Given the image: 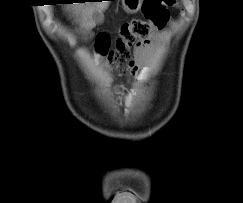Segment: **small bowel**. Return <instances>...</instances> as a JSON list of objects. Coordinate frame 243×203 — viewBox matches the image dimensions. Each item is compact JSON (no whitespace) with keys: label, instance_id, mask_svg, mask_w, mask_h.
<instances>
[{"label":"small bowel","instance_id":"obj_1","mask_svg":"<svg viewBox=\"0 0 243 203\" xmlns=\"http://www.w3.org/2000/svg\"><path fill=\"white\" fill-rule=\"evenodd\" d=\"M163 41V34L157 32L151 38L141 40L134 50V60L130 63L128 74L134 76L138 73L139 66L152 55Z\"/></svg>","mask_w":243,"mask_h":203}]
</instances>
